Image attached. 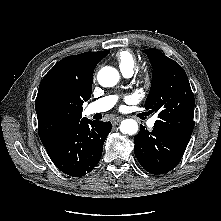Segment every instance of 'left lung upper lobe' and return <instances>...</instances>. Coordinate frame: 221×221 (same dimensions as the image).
<instances>
[{
    "mask_svg": "<svg viewBox=\"0 0 221 221\" xmlns=\"http://www.w3.org/2000/svg\"><path fill=\"white\" fill-rule=\"evenodd\" d=\"M152 63V84L145 102L149 112H158L155 126L174 135L191 137L194 95L183 68L155 48L143 50Z\"/></svg>",
    "mask_w": 221,
    "mask_h": 221,
    "instance_id": "obj_1",
    "label": "left lung upper lobe"
}]
</instances>
